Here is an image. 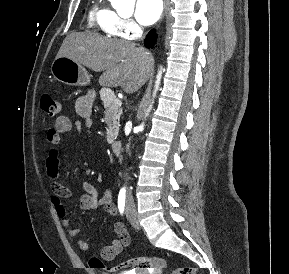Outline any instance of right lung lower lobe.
<instances>
[{"label":"right lung lower lobe","mask_w":289,"mask_h":274,"mask_svg":"<svg viewBox=\"0 0 289 274\" xmlns=\"http://www.w3.org/2000/svg\"><path fill=\"white\" fill-rule=\"evenodd\" d=\"M155 41H156L155 30L152 29V30L147 34V36H146V38H145V46H146L147 48H150V47H152V46L154 45Z\"/></svg>","instance_id":"98d812e1"}]
</instances>
